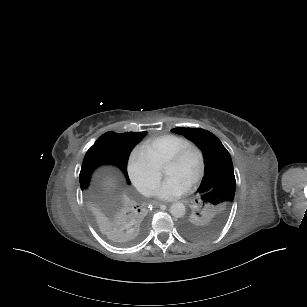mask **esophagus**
<instances>
[{
    "instance_id": "34e87169",
    "label": "esophagus",
    "mask_w": 307,
    "mask_h": 307,
    "mask_svg": "<svg viewBox=\"0 0 307 307\" xmlns=\"http://www.w3.org/2000/svg\"><path fill=\"white\" fill-rule=\"evenodd\" d=\"M161 205H162V203H160V202H156V203H155V206H158V207H159V206H161Z\"/></svg>"
}]
</instances>
